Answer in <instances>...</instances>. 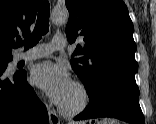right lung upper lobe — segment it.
<instances>
[{
	"label": "right lung upper lobe",
	"instance_id": "cb5924a9",
	"mask_svg": "<svg viewBox=\"0 0 156 124\" xmlns=\"http://www.w3.org/2000/svg\"><path fill=\"white\" fill-rule=\"evenodd\" d=\"M41 0H0V60L12 59L19 34L27 36Z\"/></svg>",
	"mask_w": 156,
	"mask_h": 124
}]
</instances>
